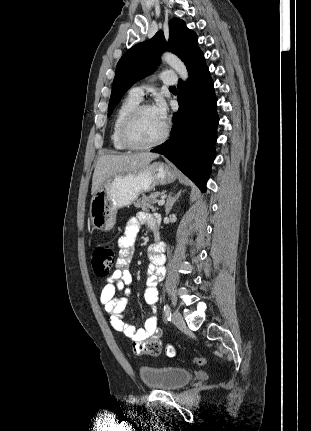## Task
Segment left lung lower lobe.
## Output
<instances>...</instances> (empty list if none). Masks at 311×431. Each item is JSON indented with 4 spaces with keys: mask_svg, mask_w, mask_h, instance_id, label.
<instances>
[{
    "mask_svg": "<svg viewBox=\"0 0 311 431\" xmlns=\"http://www.w3.org/2000/svg\"><path fill=\"white\" fill-rule=\"evenodd\" d=\"M187 70L188 81L178 83L179 110L173 116L171 136L151 152L164 155L205 192L215 158L214 144L219 121L217 100L201 51L192 59Z\"/></svg>",
    "mask_w": 311,
    "mask_h": 431,
    "instance_id": "left-lung-lower-lobe-1",
    "label": "left lung lower lobe"
}]
</instances>
